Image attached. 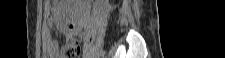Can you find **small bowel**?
<instances>
[{
	"label": "small bowel",
	"mask_w": 225,
	"mask_h": 58,
	"mask_svg": "<svg viewBox=\"0 0 225 58\" xmlns=\"http://www.w3.org/2000/svg\"><path fill=\"white\" fill-rule=\"evenodd\" d=\"M50 5H47L45 8L46 14L50 11ZM54 25V20L47 16L46 23L43 30V52L49 57V58H55L57 57V54L59 52L60 46L59 43L53 38L52 36V28ZM66 33V40L68 43H74L76 41L75 39V33L76 31H65Z\"/></svg>",
	"instance_id": "small-bowel-1"
}]
</instances>
